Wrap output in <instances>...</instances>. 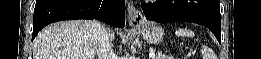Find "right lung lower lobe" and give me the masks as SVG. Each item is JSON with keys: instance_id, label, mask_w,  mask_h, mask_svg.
I'll list each match as a JSON object with an SVG mask.
<instances>
[{"instance_id": "1", "label": "right lung lower lobe", "mask_w": 261, "mask_h": 59, "mask_svg": "<svg viewBox=\"0 0 261 59\" xmlns=\"http://www.w3.org/2000/svg\"><path fill=\"white\" fill-rule=\"evenodd\" d=\"M72 19H97L115 27L125 25L124 0H36L32 41L46 25Z\"/></svg>"}]
</instances>
